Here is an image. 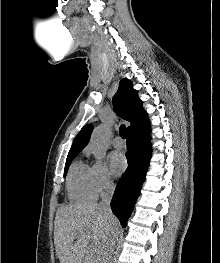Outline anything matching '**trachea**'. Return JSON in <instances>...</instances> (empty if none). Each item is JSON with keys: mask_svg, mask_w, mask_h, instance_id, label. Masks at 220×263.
I'll return each mask as SVG.
<instances>
[{"mask_svg": "<svg viewBox=\"0 0 220 263\" xmlns=\"http://www.w3.org/2000/svg\"><path fill=\"white\" fill-rule=\"evenodd\" d=\"M120 136L125 139L126 138V127L124 125H121L119 128Z\"/></svg>", "mask_w": 220, "mask_h": 263, "instance_id": "trachea-1", "label": "trachea"}]
</instances>
